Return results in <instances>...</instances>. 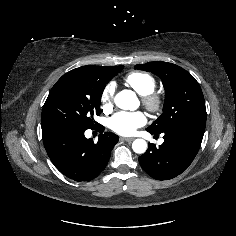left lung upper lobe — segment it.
<instances>
[{"label": "left lung upper lobe", "mask_w": 236, "mask_h": 236, "mask_svg": "<svg viewBox=\"0 0 236 236\" xmlns=\"http://www.w3.org/2000/svg\"><path fill=\"white\" fill-rule=\"evenodd\" d=\"M135 69L153 72L162 79L165 88L163 113L146 130L160 134L187 121L205 120L206 108L200 85L183 68L165 62L136 65Z\"/></svg>", "instance_id": "1"}]
</instances>
